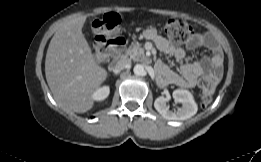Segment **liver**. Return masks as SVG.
Returning a JSON list of instances; mask_svg holds the SVG:
<instances>
[{
	"mask_svg": "<svg viewBox=\"0 0 261 162\" xmlns=\"http://www.w3.org/2000/svg\"><path fill=\"white\" fill-rule=\"evenodd\" d=\"M86 16L66 21L52 37L45 59L46 80L54 99L77 113L90 110L92 94L107 78L82 33Z\"/></svg>",
	"mask_w": 261,
	"mask_h": 162,
	"instance_id": "liver-1",
	"label": "liver"
}]
</instances>
